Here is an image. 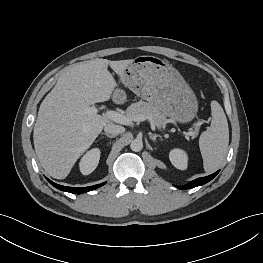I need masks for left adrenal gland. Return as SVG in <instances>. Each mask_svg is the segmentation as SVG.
Wrapping results in <instances>:
<instances>
[{
    "mask_svg": "<svg viewBox=\"0 0 263 263\" xmlns=\"http://www.w3.org/2000/svg\"><path fill=\"white\" fill-rule=\"evenodd\" d=\"M158 137H159L161 140H164L161 135H158V134H150V139H151L153 142H156V139H157Z\"/></svg>",
    "mask_w": 263,
    "mask_h": 263,
    "instance_id": "obj_1",
    "label": "left adrenal gland"
}]
</instances>
